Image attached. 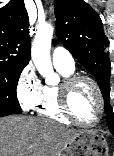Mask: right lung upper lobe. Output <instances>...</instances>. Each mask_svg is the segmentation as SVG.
Instances as JSON below:
<instances>
[{
    "mask_svg": "<svg viewBox=\"0 0 114 156\" xmlns=\"http://www.w3.org/2000/svg\"><path fill=\"white\" fill-rule=\"evenodd\" d=\"M29 18L23 0L0 9V63L25 67L30 58Z\"/></svg>",
    "mask_w": 114,
    "mask_h": 156,
    "instance_id": "right-lung-upper-lobe-1",
    "label": "right lung upper lobe"
}]
</instances>
